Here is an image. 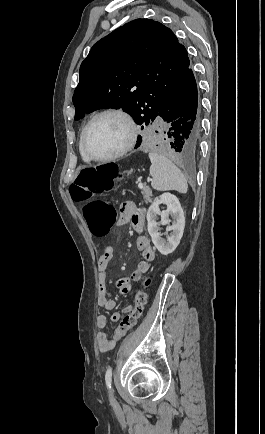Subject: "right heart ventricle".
Masks as SVG:
<instances>
[{"label": "right heart ventricle", "instance_id": "right-heart-ventricle-1", "mask_svg": "<svg viewBox=\"0 0 265 434\" xmlns=\"http://www.w3.org/2000/svg\"><path fill=\"white\" fill-rule=\"evenodd\" d=\"M83 131H84V128L81 130V133H80V136H79V140H78V153H79V156H80L81 161H82L84 164H90V162L87 161V160H86V159L81 155V153H80L79 143H80V137L82 136Z\"/></svg>", "mask_w": 265, "mask_h": 434}]
</instances>
